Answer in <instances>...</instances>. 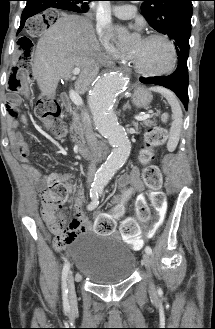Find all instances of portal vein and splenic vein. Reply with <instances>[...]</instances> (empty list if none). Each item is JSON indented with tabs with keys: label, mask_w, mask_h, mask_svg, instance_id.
Wrapping results in <instances>:
<instances>
[{
	"label": "portal vein and splenic vein",
	"mask_w": 215,
	"mask_h": 329,
	"mask_svg": "<svg viewBox=\"0 0 215 329\" xmlns=\"http://www.w3.org/2000/svg\"><path fill=\"white\" fill-rule=\"evenodd\" d=\"M80 71H81V69L77 67V68L73 69L72 73H73V75H77V74L80 73ZM69 97L75 105L81 106L83 104L82 98L73 89L70 90ZM150 117H151L150 114H144V115L135 116V119L138 120V121H144V120H147Z\"/></svg>",
	"instance_id": "obj_1"
}]
</instances>
